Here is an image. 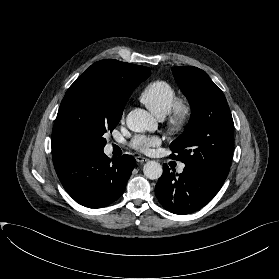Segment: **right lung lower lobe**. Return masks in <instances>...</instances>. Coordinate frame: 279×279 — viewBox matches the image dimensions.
Returning a JSON list of instances; mask_svg holds the SVG:
<instances>
[{
    "mask_svg": "<svg viewBox=\"0 0 279 279\" xmlns=\"http://www.w3.org/2000/svg\"><path fill=\"white\" fill-rule=\"evenodd\" d=\"M58 178L69 195L89 208L112 204L124 192L135 159L123 155L111 160L103 151L54 163Z\"/></svg>",
    "mask_w": 279,
    "mask_h": 279,
    "instance_id": "98d812e1",
    "label": "right lung lower lobe"
}]
</instances>
